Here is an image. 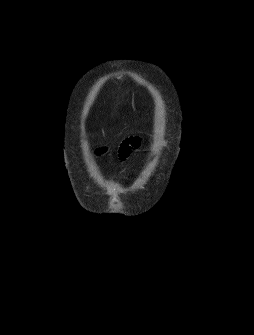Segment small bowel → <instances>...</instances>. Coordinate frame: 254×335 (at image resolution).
Returning a JSON list of instances; mask_svg holds the SVG:
<instances>
[{
	"label": "small bowel",
	"mask_w": 254,
	"mask_h": 335,
	"mask_svg": "<svg viewBox=\"0 0 254 335\" xmlns=\"http://www.w3.org/2000/svg\"><path fill=\"white\" fill-rule=\"evenodd\" d=\"M137 144V142H129V143H127L126 145H124L123 146V148H122V150H121V154L123 155V156H126L129 152H130V150H131V146H134V145H136Z\"/></svg>",
	"instance_id": "obj_1"
}]
</instances>
